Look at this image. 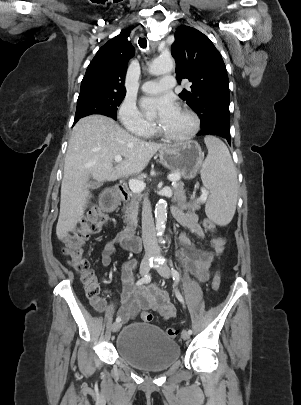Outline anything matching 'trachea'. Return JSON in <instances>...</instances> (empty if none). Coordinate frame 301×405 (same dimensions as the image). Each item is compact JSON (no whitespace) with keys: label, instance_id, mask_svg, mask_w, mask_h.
Segmentation results:
<instances>
[{"label":"trachea","instance_id":"trachea-1","mask_svg":"<svg viewBox=\"0 0 301 405\" xmlns=\"http://www.w3.org/2000/svg\"><path fill=\"white\" fill-rule=\"evenodd\" d=\"M138 44L141 48L145 49L147 47V40L146 38H139Z\"/></svg>","mask_w":301,"mask_h":405}]
</instances>
